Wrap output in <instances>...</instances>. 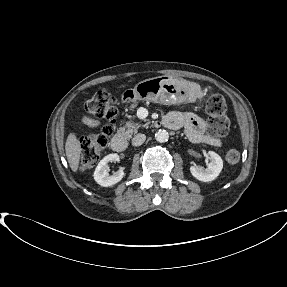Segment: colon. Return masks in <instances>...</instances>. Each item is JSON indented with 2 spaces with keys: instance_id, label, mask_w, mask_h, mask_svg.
Instances as JSON below:
<instances>
[{
  "instance_id": "1",
  "label": "colon",
  "mask_w": 287,
  "mask_h": 287,
  "mask_svg": "<svg viewBox=\"0 0 287 287\" xmlns=\"http://www.w3.org/2000/svg\"><path fill=\"white\" fill-rule=\"evenodd\" d=\"M86 111L97 118L105 119L108 124L101 132L90 134L80 140L81 168L83 170L93 167L103 155L108 137L113 133V122L117 115V103L114 96L107 91H98L85 105ZM206 112L209 117V133L219 138L227 134L229 120L227 118V104L223 96L218 93L210 94L206 102ZM229 164L240 161L241 153L235 147H228L225 153Z\"/></svg>"
}]
</instances>
